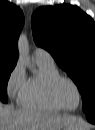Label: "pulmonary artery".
Instances as JSON below:
<instances>
[{
	"label": "pulmonary artery",
	"mask_w": 95,
	"mask_h": 130,
	"mask_svg": "<svg viewBox=\"0 0 95 130\" xmlns=\"http://www.w3.org/2000/svg\"><path fill=\"white\" fill-rule=\"evenodd\" d=\"M34 58L37 61L53 62V58L48 51L42 48L34 50Z\"/></svg>",
	"instance_id": "1"
}]
</instances>
